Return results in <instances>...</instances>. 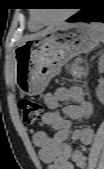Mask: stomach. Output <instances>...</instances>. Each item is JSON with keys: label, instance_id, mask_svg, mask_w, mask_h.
Segmentation results:
<instances>
[{"label": "stomach", "instance_id": "1", "mask_svg": "<svg viewBox=\"0 0 104 169\" xmlns=\"http://www.w3.org/2000/svg\"><path fill=\"white\" fill-rule=\"evenodd\" d=\"M103 29L92 24L58 26L24 41L16 49L15 83L22 94H40L73 57L93 50Z\"/></svg>", "mask_w": 104, "mask_h": 169}]
</instances>
